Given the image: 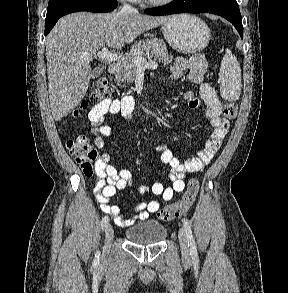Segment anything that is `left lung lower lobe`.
Instances as JSON below:
<instances>
[{"instance_id":"1","label":"left lung lower lobe","mask_w":288,"mask_h":293,"mask_svg":"<svg viewBox=\"0 0 288 293\" xmlns=\"http://www.w3.org/2000/svg\"><path fill=\"white\" fill-rule=\"evenodd\" d=\"M148 15H170L177 13H211L230 21L243 39L242 17L237 2L227 0H174L168 5L146 9Z\"/></svg>"}]
</instances>
